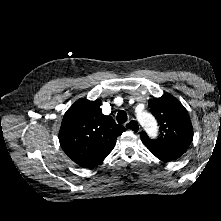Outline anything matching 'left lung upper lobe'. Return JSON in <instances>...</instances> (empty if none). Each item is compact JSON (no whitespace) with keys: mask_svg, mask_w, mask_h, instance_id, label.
<instances>
[{"mask_svg":"<svg viewBox=\"0 0 221 221\" xmlns=\"http://www.w3.org/2000/svg\"><path fill=\"white\" fill-rule=\"evenodd\" d=\"M148 104L160 125V134L157 139H150L143 132L140 137L146 147L157 151L188 148L193 139V128L184 106L168 93L149 100Z\"/></svg>","mask_w":221,"mask_h":221,"instance_id":"left-lung-upper-lobe-1","label":"left lung upper lobe"}]
</instances>
